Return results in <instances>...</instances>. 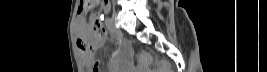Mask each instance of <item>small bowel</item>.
Instances as JSON below:
<instances>
[{"label": "small bowel", "mask_w": 267, "mask_h": 72, "mask_svg": "<svg viewBox=\"0 0 267 72\" xmlns=\"http://www.w3.org/2000/svg\"><path fill=\"white\" fill-rule=\"evenodd\" d=\"M102 9L104 11H109L110 10V5L107 3L103 4ZM114 41L117 45L121 43V39L119 37H115ZM105 42V37L103 38H92V44L94 48L101 47ZM83 61L87 64L93 59V54L92 53H84L82 55ZM112 64V62H111Z\"/></svg>", "instance_id": "c3829d8e"}]
</instances>
